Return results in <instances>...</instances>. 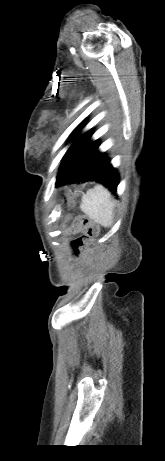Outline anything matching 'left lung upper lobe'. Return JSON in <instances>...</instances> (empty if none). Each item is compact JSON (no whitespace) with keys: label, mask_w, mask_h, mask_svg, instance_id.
<instances>
[{"label":"left lung upper lobe","mask_w":165,"mask_h":461,"mask_svg":"<svg viewBox=\"0 0 165 461\" xmlns=\"http://www.w3.org/2000/svg\"><path fill=\"white\" fill-rule=\"evenodd\" d=\"M83 122H84V121H83ZM83 122H82L81 124H79V125L76 127V129H75L76 132H75V134H74V136H73L72 139H74L75 136H77V135L79 134V132L81 131ZM85 134H86V133H85ZM85 134H83V135H81L79 138H77V140H76V141L71 145V147L68 149L67 153L75 146V144H76ZM67 153H66V154H67Z\"/></svg>","instance_id":"1"}]
</instances>
